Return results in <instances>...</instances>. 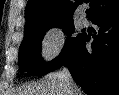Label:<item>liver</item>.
<instances>
[{
    "label": "liver",
    "instance_id": "liver-1",
    "mask_svg": "<svg viewBox=\"0 0 119 95\" xmlns=\"http://www.w3.org/2000/svg\"><path fill=\"white\" fill-rule=\"evenodd\" d=\"M18 93V95H70L61 72L49 73L40 81L24 86Z\"/></svg>",
    "mask_w": 119,
    "mask_h": 95
}]
</instances>
